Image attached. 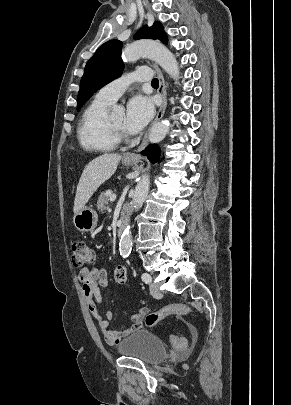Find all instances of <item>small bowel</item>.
Listing matches in <instances>:
<instances>
[{
  "instance_id": "small-bowel-1",
  "label": "small bowel",
  "mask_w": 291,
  "mask_h": 405,
  "mask_svg": "<svg viewBox=\"0 0 291 405\" xmlns=\"http://www.w3.org/2000/svg\"><path fill=\"white\" fill-rule=\"evenodd\" d=\"M79 280L88 309L109 345L118 344L133 331L141 328L143 318L148 312L147 308L140 309L132 316L133 325L130 327L121 331L110 330V322L114 317L113 312L109 310L103 316L98 309V305L103 301L102 290L108 285V274L105 269L96 267L83 269L79 274Z\"/></svg>"
}]
</instances>
